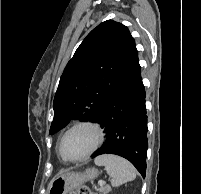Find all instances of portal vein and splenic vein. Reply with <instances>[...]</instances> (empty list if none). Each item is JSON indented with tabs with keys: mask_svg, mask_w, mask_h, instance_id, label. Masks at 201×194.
Instances as JSON below:
<instances>
[{
	"mask_svg": "<svg viewBox=\"0 0 201 194\" xmlns=\"http://www.w3.org/2000/svg\"><path fill=\"white\" fill-rule=\"evenodd\" d=\"M98 185L102 187V186L104 185V181H102V180L99 181V182H98Z\"/></svg>",
	"mask_w": 201,
	"mask_h": 194,
	"instance_id": "portal-vein-and-splenic-vein-1",
	"label": "portal vein and splenic vein"
}]
</instances>
